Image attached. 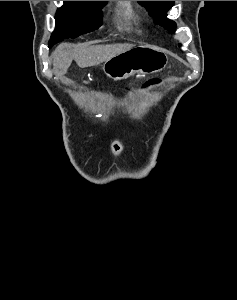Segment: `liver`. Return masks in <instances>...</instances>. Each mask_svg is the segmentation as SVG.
<instances>
[{
	"instance_id": "obj_1",
	"label": "liver",
	"mask_w": 237,
	"mask_h": 300,
	"mask_svg": "<svg viewBox=\"0 0 237 300\" xmlns=\"http://www.w3.org/2000/svg\"><path fill=\"white\" fill-rule=\"evenodd\" d=\"M135 45H90V43H83V45H77L76 49H66V51H58L54 53L53 69L56 73L65 75L67 69H69L73 59L76 61L78 67L85 69V67H94V65H100L108 59H112L115 55L130 51Z\"/></svg>"
}]
</instances>
